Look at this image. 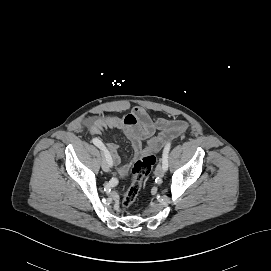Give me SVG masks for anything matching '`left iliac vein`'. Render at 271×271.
<instances>
[{
	"mask_svg": "<svg viewBox=\"0 0 271 271\" xmlns=\"http://www.w3.org/2000/svg\"><path fill=\"white\" fill-rule=\"evenodd\" d=\"M164 173H165V170H164L163 166L161 164H158V166L156 167V170H155V175L157 177H163Z\"/></svg>",
	"mask_w": 271,
	"mask_h": 271,
	"instance_id": "1",
	"label": "left iliac vein"
}]
</instances>
